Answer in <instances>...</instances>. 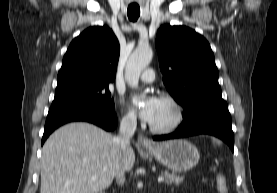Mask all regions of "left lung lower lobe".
I'll list each match as a JSON object with an SVG mask.
<instances>
[{
  "instance_id": "0a47b994",
  "label": "left lung lower lobe",
  "mask_w": 277,
  "mask_h": 193,
  "mask_svg": "<svg viewBox=\"0 0 277 193\" xmlns=\"http://www.w3.org/2000/svg\"><path fill=\"white\" fill-rule=\"evenodd\" d=\"M198 134H210L225 141L234 149V133L231 115L223 99L206 100L183 115V122L177 131L167 135L154 136L155 141L182 138Z\"/></svg>"
}]
</instances>
